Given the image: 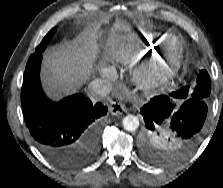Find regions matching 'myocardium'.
<instances>
[{
	"mask_svg": "<svg viewBox=\"0 0 223 188\" xmlns=\"http://www.w3.org/2000/svg\"><path fill=\"white\" fill-rule=\"evenodd\" d=\"M176 43V50L170 52V44ZM185 52L181 37L170 34L162 41L158 53L148 61L138 65L133 71V79L144 91H153L170 82L178 74Z\"/></svg>",
	"mask_w": 223,
	"mask_h": 188,
	"instance_id": "obj_1",
	"label": "myocardium"
}]
</instances>
